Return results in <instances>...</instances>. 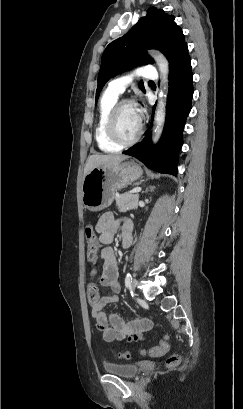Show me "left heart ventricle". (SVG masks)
<instances>
[{"instance_id":"b2bd125f","label":"left heart ventricle","mask_w":243,"mask_h":409,"mask_svg":"<svg viewBox=\"0 0 243 409\" xmlns=\"http://www.w3.org/2000/svg\"><path fill=\"white\" fill-rule=\"evenodd\" d=\"M140 124V116L135 106H125L120 111L117 125L123 138L130 139L134 137L140 128Z\"/></svg>"}]
</instances>
